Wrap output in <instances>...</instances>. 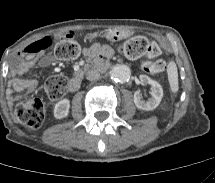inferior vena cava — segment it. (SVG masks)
<instances>
[{
	"label": "inferior vena cava",
	"instance_id": "obj_1",
	"mask_svg": "<svg viewBox=\"0 0 215 183\" xmlns=\"http://www.w3.org/2000/svg\"><path fill=\"white\" fill-rule=\"evenodd\" d=\"M99 77H100V74L96 70H89L86 73V78H87V80H90V81H96L99 79Z\"/></svg>",
	"mask_w": 215,
	"mask_h": 183
}]
</instances>
